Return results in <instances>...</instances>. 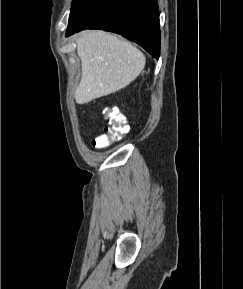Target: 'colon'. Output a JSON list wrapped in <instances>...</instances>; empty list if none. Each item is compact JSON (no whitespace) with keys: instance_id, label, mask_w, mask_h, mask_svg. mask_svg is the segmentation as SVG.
Segmentation results:
<instances>
[{"instance_id":"5ec220e1","label":"colon","mask_w":243,"mask_h":289,"mask_svg":"<svg viewBox=\"0 0 243 289\" xmlns=\"http://www.w3.org/2000/svg\"><path fill=\"white\" fill-rule=\"evenodd\" d=\"M103 115L109 126L105 128L104 133L93 140L92 144L95 148L108 147L112 142L120 139L129 131L126 117L117 107H104Z\"/></svg>"}]
</instances>
